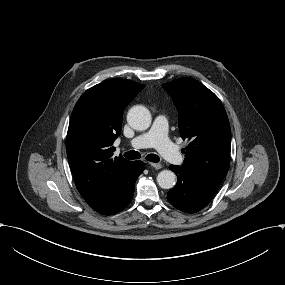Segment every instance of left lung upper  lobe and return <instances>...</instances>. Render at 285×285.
<instances>
[{
  "label": "left lung upper lobe",
  "instance_id": "1",
  "mask_svg": "<svg viewBox=\"0 0 285 285\" xmlns=\"http://www.w3.org/2000/svg\"><path fill=\"white\" fill-rule=\"evenodd\" d=\"M162 87L173 99L179 113V130L186 147L184 171L219 187L230 164V125L219 98L192 78L165 83Z\"/></svg>",
  "mask_w": 285,
  "mask_h": 285
}]
</instances>
